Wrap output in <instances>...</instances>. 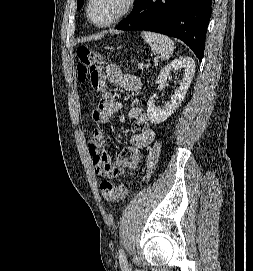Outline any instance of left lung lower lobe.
Returning a JSON list of instances; mask_svg holds the SVG:
<instances>
[{"label":"left lung lower lobe","instance_id":"obj_1","mask_svg":"<svg viewBox=\"0 0 253 271\" xmlns=\"http://www.w3.org/2000/svg\"><path fill=\"white\" fill-rule=\"evenodd\" d=\"M212 0H136L118 30H146L178 38L201 61Z\"/></svg>","mask_w":253,"mask_h":271}]
</instances>
